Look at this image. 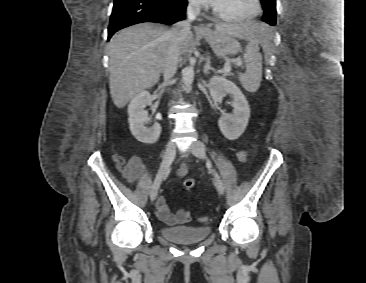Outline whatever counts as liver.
I'll return each mask as SVG.
<instances>
[{"instance_id": "1", "label": "liver", "mask_w": 366, "mask_h": 283, "mask_svg": "<svg viewBox=\"0 0 366 283\" xmlns=\"http://www.w3.org/2000/svg\"><path fill=\"white\" fill-rule=\"evenodd\" d=\"M170 30L159 23H139L125 28L108 43L110 56V94L114 104L123 108L140 91L154 86L163 71L165 56L169 47ZM215 30L234 38L266 41L269 28L251 22L219 23ZM193 39L188 33L181 46L185 53Z\"/></svg>"}]
</instances>
